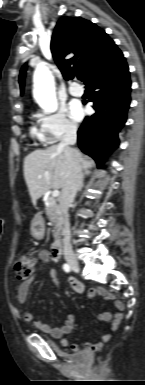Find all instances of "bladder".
<instances>
[{
  "mask_svg": "<svg viewBox=\"0 0 145 385\" xmlns=\"http://www.w3.org/2000/svg\"><path fill=\"white\" fill-rule=\"evenodd\" d=\"M79 357H81L82 359H85V358H86V356H85V354H84L83 352H80V353H79Z\"/></svg>",
  "mask_w": 145,
  "mask_h": 385,
  "instance_id": "1",
  "label": "bladder"
}]
</instances>
